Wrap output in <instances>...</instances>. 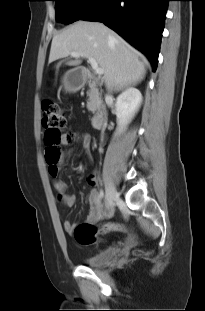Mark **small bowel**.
<instances>
[{
	"label": "small bowel",
	"instance_id": "small-bowel-1",
	"mask_svg": "<svg viewBox=\"0 0 205 311\" xmlns=\"http://www.w3.org/2000/svg\"><path fill=\"white\" fill-rule=\"evenodd\" d=\"M71 139L73 142L80 143L81 146L85 150H89L91 146V136L87 133H79V132H74L71 133ZM68 144L67 140H63L61 145H66ZM70 155V153H67L65 155V158H67ZM49 172L53 177H57L58 174V166H50L49 167ZM88 183L93 186L91 191L88 194L87 200L90 206V211L87 216V221L90 223H96L98 222L103 216H104V206L101 203L99 199V194L96 188H94L96 184V177L94 173H91L88 178H87ZM54 187L55 190L58 193V199L67 207H71L75 204L76 198L72 194L67 193V185L64 181L57 179L54 182ZM64 229L68 233H72L74 227L76 226L75 223H72L70 221H65L64 224Z\"/></svg>",
	"mask_w": 205,
	"mask_h": 311
}]
</instances>
